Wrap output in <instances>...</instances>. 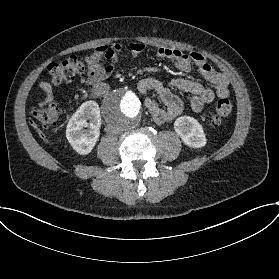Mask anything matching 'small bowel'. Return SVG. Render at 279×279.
I'll use <instances>...</instances> for the list:
<instances>
[{
  "mask_svg": "<svg viewBox=\"0 0 279 279\" xmlns=\"http://www.w3.org/2000/svg\"><path fill=\"white\" fill-rule=\"evenodd\" d=\"M144 45L135 42L130 45V52L137 56L144 50ZM121 45L118 42L98 45L93 51L87 54L85 61L87 75L82 82L89 86H97L107 80L115 71ZM156 57L159 59H170L181 71L188 72L192 66L198 68L199 73L208 80L215 88L219 98L229 96L228 78L215 71L208 63L205 56L198 52H182L171 47H160L156 50ZM38 88L44 93V98L40 104H51L54 100L53 85L49 81H43ZM137 89L142 94L150 91L155 92L165 107L160 106L154 99L147 97L144 105L153 120L158 124H164L177 115L185 108V103L174 94L173 90L189 92L191 94L187 106L193 111H200L210 104L215 93L207 84L187 78H176L168 84L163 83L154 77H145L138 81Z\"/></svg>",
  "mask_w": 279,
  "mask_h": 279,
  "instance_id": "1",
  "label": "small bowel"
}]
</instances>
